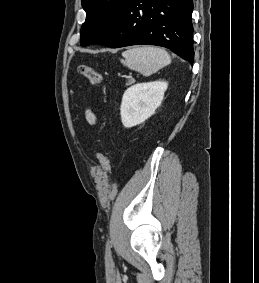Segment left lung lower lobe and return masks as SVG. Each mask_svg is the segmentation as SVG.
Here are the masks:
<instances>
[{
    "label": "left lung lower lobe",
    "mask_w": 259,
    "mask_h": 283,
    "mask_svg": "<svg viewBox=\"0 0 259 283\" xmlns=\"http://www.w3.org/2000/svg\"><path fill=\"white\" fill-rule=\"evenodd\" d=\"M192 11L193 0H129L114 28L97 44L162 46L192 64Z\"/></svg>",
    "instance_id": "0a47b994"
}]
</instances>
